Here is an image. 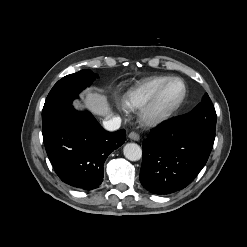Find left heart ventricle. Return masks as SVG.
Returning a JSON list of instances; mask_svg holds the SVG:
<instances>
[{
    "label": "left heart ventricle",
    "mask_w": 247,
    "mask_h": 247,
    "mask_svg": "<svg viewBox=\"0 0 247 247\" xmlns=\"http://www.w3.org/2000/svg\"><path fill=\"white\" fill-rule=\"evenodd\" d=\"M182 84L178 81L169 83L161 94L159 106L164 108L173 104L182 93Z\"/></svg>",
    "instance_id": "left-heart-ventricle-1"
}]
</instances>
